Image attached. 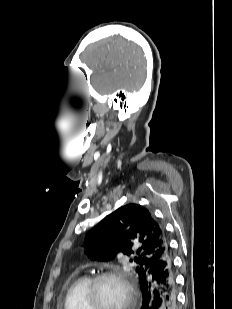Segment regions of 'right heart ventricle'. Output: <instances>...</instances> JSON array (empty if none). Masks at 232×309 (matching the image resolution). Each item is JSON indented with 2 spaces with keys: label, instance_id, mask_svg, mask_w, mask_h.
<instances>
[{
  "label": "right heart ventricle",
  "instance_id": "1",
  "mask_svg": "<svg viewBox=\"0 0 232 309\" xmlns=\"http://www.w3.org/2000/svg\"><path fill=\"white\" fill-rule=\"evenodd\" d=\"M90 279L89 276H80L71 284L66 293L64 309H88L85 294Z\"/></svg>",
  "mask_w": 232,
  "mask_h": 309
}]
</instances>
